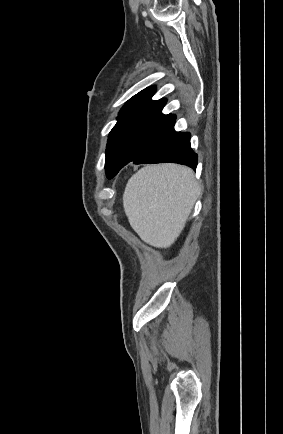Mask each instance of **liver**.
<instances>
[{
    "instance_id": "obj_1",
    "label": "liver",
    "mask_w": 283,
    "mask_h": 434,
    "mask_svg": "<svg viewBox=\"0 0 283 434\" xmlns=\"http://www.w3.org/2000/svg\"><path fill=\"white\" fill-rule=\"evenodd\" d=\"M199 194L192 169L176 164L148 165L129 179L123 207L132 229L144 242L169 248L184 229Z\"/></svg>"
}]
</instances>
